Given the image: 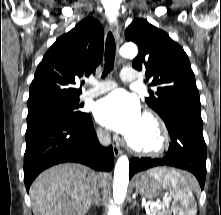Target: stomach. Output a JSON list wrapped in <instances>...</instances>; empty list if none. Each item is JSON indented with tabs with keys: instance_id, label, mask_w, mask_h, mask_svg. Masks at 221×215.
<instances>
[{
	"instance_id": "0dacf381",
	"label": "stomach",
	"mask_w": 221,
	"mask_h": 215,
	"mask_svg": "<svg viewBox=\"0 0 221 215\" xmlns=\"http://www.w3.org/2000/svg\"><path fill=\"white\" fill-rule=\"evenodd\" d=\"M163 171V169L156 168L138 174L135 178L136 191L146 198L158 196L162 191L163 184L158 179L157 174Z\"/></svg>"
}]
</instances>
